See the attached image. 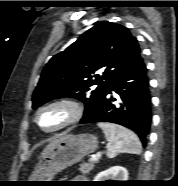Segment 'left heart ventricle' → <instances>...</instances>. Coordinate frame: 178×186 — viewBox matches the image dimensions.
Instances as JSON below:
<instances>
[{
	"mask_svg": "<svg viewBox=\"0 0 178 186\" xmlns=\"http://www.w3.org/2000/svg\"><path fill=\"white\" fill-rule=\"evenodd\" d=\"M68 116L64 107L56 106L42 111L38 117L40 125L45 129H52L63 123Z\"/></svg>",
	"mask_w": 178,
	"mask_h": 186,
	"instance_id": "left-heart-ventricle-1",
	"label": "left heart ventricle"
}]
</instances>
